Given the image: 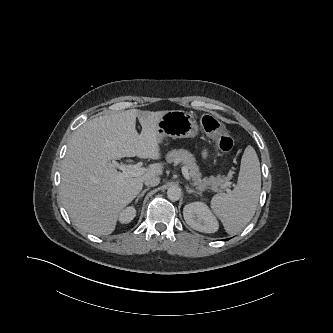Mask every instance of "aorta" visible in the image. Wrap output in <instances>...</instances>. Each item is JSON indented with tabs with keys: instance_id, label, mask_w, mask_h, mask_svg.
Listing matches in <instances>:
<instances>
[{
	"instance_id": "762f6f07",
	"label": "aorta",
	"mask_w": 333,
	"mask_h": 333,
	"mask_svg": "<svg viewBox=\"0 0 333 333\" xmlns=\"http://www.w3.org/2000/svg\"><path fill=\"white\" fill-rule=\"evenodd\" d=\"M167 196L171 201H177L181 197V189L178 186H171L167 190Z\"/></svg>"
}]
</instances>
